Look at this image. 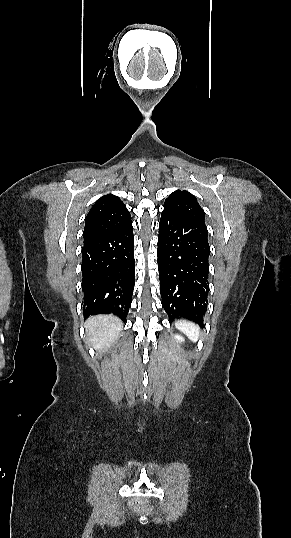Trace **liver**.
I'll return each instance as SVG.
<instances>
[{
	"mask_svg": "<svg viewBox=\"0 0 291 538\" xmlns=\"http://www.w3.org/2000/svg\"><path fill=\"white\" fill-rule=\"evenodd\" d=\"M85 328L88 343L96 350L105 352L118 339L123 324L116 316L96 315L87 319Z\"/></svg>",
	"mask_w": 291,
	"mask_h": 538,
	"instance_id": "obj_1",
	"label": "liver"
}]
</instances>
